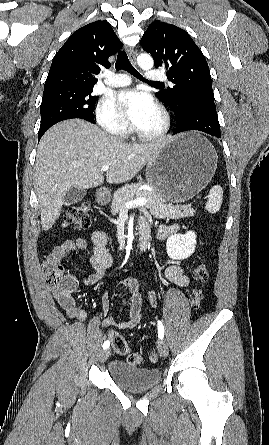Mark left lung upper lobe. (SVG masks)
I'll list each match as a JSON object with an SVG mask.
<instances>
[{"label": "left lung upper lobe", "instance_id": "left-lung-upper-lobe-1", "mask_svg": "<svg viewBox=\"0 0 269 445\" xmlns=\"http://www.w3.org/2000/svg\"><path fill=\"white\" fill-rule=\"evenodd\" d=\"M140 45L152 55L157 68L167 69V78L173 87L156 94L169 105L176 119L183 115V106L188 100L214 101L207 61L186 31L157 20L149 25Z\"/></svg>", "mask_w": 269, "mask_h": 445}]
</instances>
